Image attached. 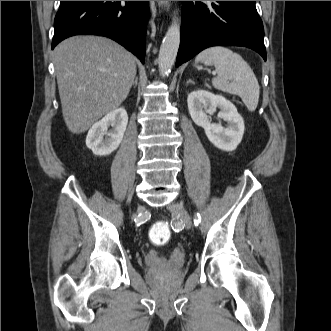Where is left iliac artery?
Segmentation results:
<instances>
[{
  "label": "left iliac artery",
  "mask_w": 331,
  "mask_h": 331,
  "mask_svg": "<svg viewBox=\"0 0 331 331\" xmlns=\"http://www.w3.org/2000/svg\"><path fill=\"white\" fill-rule=\"evenodd\" d=\"M200 222H201L200 215L196 214L194 219V224L198 226Z\"/></svg>",
  "instance_id": "1"
}]
</instances>
